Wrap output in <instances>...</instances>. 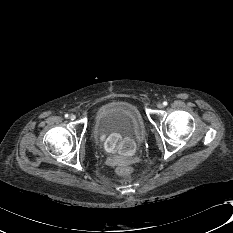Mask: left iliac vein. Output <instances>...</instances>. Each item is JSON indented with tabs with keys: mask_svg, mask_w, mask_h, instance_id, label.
<instances>
[{
	"mask_svg": "<svg viewBox=\"0 0 233 233\" xmlns=\"http://www.w3.org/2000/svg\"><path fill=\"white\" fill-rule=\"evenodd\" d=\"M157 107H158L159 109H162L164 106H163L162 103H158V104H157Z\"/></svg>",
	"mask_w": 233,
	"mask_h": 233,
	"instance_id": "left-iliac-vein-1",
	"label": "left iliac vein"
}]
</instances>
